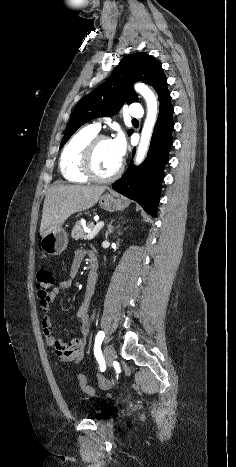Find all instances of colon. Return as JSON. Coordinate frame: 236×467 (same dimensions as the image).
<instances>
[{
	"label": "colon",
	"mask_w": 236,
	"mask_h": 467,
	"mask_svg": "<svg viewBox=\"0 0 236 467\" xmlns=\"http://www.w3.org/2000/svg\"><path fill=\"white\" fill-rule=\"evenodd\" d=\"M37 282H38V296L40 299L47 298L51 292L53 291V286L55 283V277L53 273L48 269H40L37 273ZM79 384L81 389L88 393L94 394V388L91 387L87 379L84 375L80 374L79 377ZM100 385L104 388L109 386V382L106 380H101Z\"/></svg>",
	"instance_id": "colon-1"
}]
</instances>
